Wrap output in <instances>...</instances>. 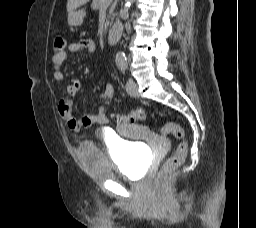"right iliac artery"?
Segmentation results:
<instances>
[{"label":"right iliac artery","mask_w":256,"mask_h":228,"mask_svg":"<svg viewBox=\"0 0 256 228\" xmlns=\"http://www.w3.org/2000/svg\"><path fill=\"white\" fill-rule=\"evenodd\" d=\"M121 71L124 73L125 72V67L121 66Z\"/></svg>","instance_id":"1"}]
</instances>
